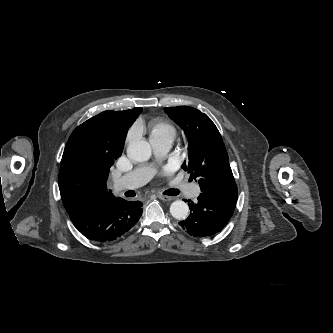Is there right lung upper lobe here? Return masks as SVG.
Instances as JSON below:
<instances>
[{
  "label": "right lung upper lobe",
  "instance_id": "cb5924a9",
  "mask_svg": "<svg viewBox=\"0 0 333 333\" xmlns=\"http://www.w3.org/2000/svg\"><path fill=\"white\" fill-rule=\"evenodd\" d=\"M141 111L142 108H134L119 111V115L124 118V124L128 125L135 121ZM88 124L87 120L73 131L61 160L59 189L68 214L82 212L115 199L111 190L107 189L110 167L114 163L112 151L106 149L103 154L99 153L98 146L86 137Z\"/></svg>",
  "mask_w": 333,
  "mask_h": 333
}]
</instances>
